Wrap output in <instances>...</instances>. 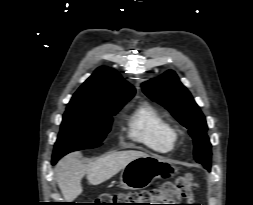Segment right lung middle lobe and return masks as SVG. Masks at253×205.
<instances>
[{
  "instance_id": "dd1d6c3e",
  "label": "right lung middle lobe",
  "mask_w": 253,
  "mask_h": 205,
  "mask_svg": "<svg viewBox=\"0 0 253 205\" xmlns=\"http://www.w3.org/2000/svg\"><path fill=\"white\" fill-rule=\"evenodd\" d=\"M130 99L115 100L97 110L67 108L55 143L53 160L57 161L74 150L100 146L110 131L112 115Z\"/></svg>"
}]
</instances>
